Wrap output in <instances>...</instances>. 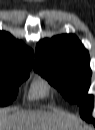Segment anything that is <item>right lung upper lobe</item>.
<instances>
[{
  "instance_id": "obj_1",
  "label": "right lung upper lobe",
  "mask_w": 95,
  "mask_h": 130,
  "mask_svg": "<svg viewBox=\"0 0 95 130\" xmlns=\"http://www.w3.org/2000/svg\"><path fill=\"white\" fill-rule=\"evenodd\" d=\"M33 52L9 33L0 32V70L31 69Z\"/></svg>"
}]
</instances>
